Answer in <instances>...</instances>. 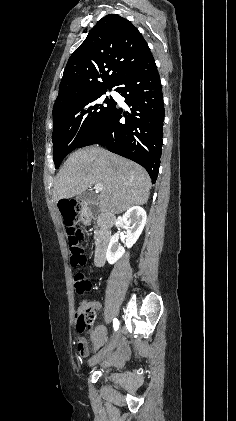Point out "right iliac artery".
Segmentation results:
<instances>
[{
    "instance_id": "82829eb1",
    "label": "right iliac artery",
    "mask_w": 236,
    "mask_h": 421,
    "mask_svg": "<svg viewBox=\"0 0 236 421\" xmlns=\"http://www.w3.org/2000/svg\"><path fill=\"white\" fill-rule=\"evenodd\" d=\"M113 327L115 331H117L119 328V321L116 318L113 319Z\"/></svg>"
}]
</instances>
